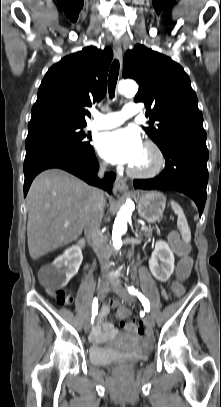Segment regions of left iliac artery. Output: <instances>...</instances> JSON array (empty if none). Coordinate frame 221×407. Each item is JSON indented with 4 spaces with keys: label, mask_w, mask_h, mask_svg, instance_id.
Returning a JSON list of instances; mask_svg holds the SVG:
<instances>
[{
    "label": "left iliac artery",
    "mask_w": 221,
    "mask_h": 407,
    "mask_svg": "<svg viewBox=\"0 0 221 407\" xmlns=\"http://www.w3.org/2000/svg\"><path fill=\"white\" fill-rule=\"evenodd\" d=\"M126 288L131 295L138 297V299L141 301V303L144 306V309L146 311H150V303H149L148 299L141 292H139L133 286L126 285Z\"/></svg>",
    "instance_id": "left-iliac-artery-1"
}]
</instances>
